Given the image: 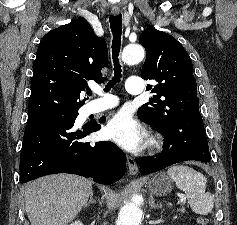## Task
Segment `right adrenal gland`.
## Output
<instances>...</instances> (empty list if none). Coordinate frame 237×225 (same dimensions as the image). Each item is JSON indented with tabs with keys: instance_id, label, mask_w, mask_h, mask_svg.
Wrapping results in <instances>:
<instances>
[{
	"instance_id": "right-adrenal-gland-1",
	"label": "right adrenal gland",
	"mask_w": 237,
	"mask_h": 225,
	"mask_svg": "<svg viewBox=\"0 0 237 225\" xmlns=\"http://www.w3.org/2000/svg\"><path fill=\"white\" fill-rule=\"evenodd\" d=\"M90 204H96V200H94V198H93V192L90 194L89 202H87V203L84 205V208H86V207L89 206Z\"/></svg>"
}]
</instances>
